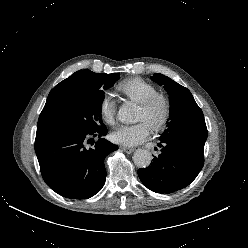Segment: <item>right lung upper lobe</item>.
Instances as JSON below:
<instances>
[{
    "mask_svg": "<svg viewBox=\"0 0 248 248\" xmlns=\"http://www.w3.org/2000/svg\"><path fill=\"white\" fill-rule=\"evenodd\" d=\"M85 73L84 70H79L56 85L49 93L45 106L60 103L78 95L83 88V84L86 83L87 77Z\"/></svg>",
    "mask_w": 248,
    "mask_h": 248,
    "instance_id": "right-lung-upper-lobe-1",
    "label": "right lung upper lobe"
}]
</instances>
